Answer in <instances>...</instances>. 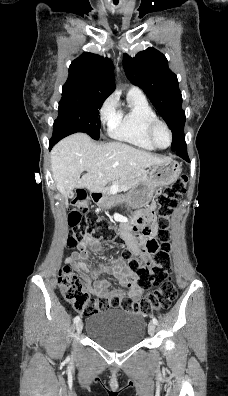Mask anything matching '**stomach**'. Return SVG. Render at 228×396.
Returning a JSON list of instances; mask_svg holds the SVG:
<instances>
[{
    "label": "stomach",
    "mask_w": 228,
    "mask_h": 396,
    "mask_svg": "<svg viewBox=\"0 0 228 396\" xmlns=\"http://www.w3.org/2000/svg\"><path fill=\"white\" fill-rule=\"evenodd\" d=\"M143 172V171H142ZM147 179L131 188L124 196H111L107 191L98 192L94 200L104 209L125 201L132 208L146 207L153 198L155 189L166 186L177 180L181 173L180 165L173 160L153 166L150 171L144 172Z\"/></svg>",
    "instance_id": "obj_1"
}]
</instances>
